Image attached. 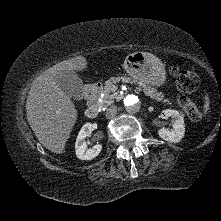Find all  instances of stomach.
Wrapping results in <instances>:
<instances>
[{
	"mask_svg": "<svg viewBox=\"0 0 221 221\" xmlns=\"http://www.w3.org/2000/svg\"><path fill=\"white\" fill-rule=\"evenodd\" d=\"M124 69L134 80L159 87L166 81L165 66L162 61L148 52H134L124 61Z\"/></svg>",
	"mask_w": 221,
	"mask_h": 221,
	"instance_id": "1",
	"label": "stomach"
}]
</instances>
